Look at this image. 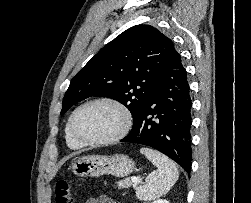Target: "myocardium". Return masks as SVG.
<instances>
[{
	"instance_id": "1",
	"label": "myocardium",
	"mask_w": 251,
	"mask_h": 203,
	"mask_svg": "<svg viewBox=\"0 0 251 203\" xmlns=\"http://www.w3.org/2000/svg\"><path fill=\"white\" fill-rule=\"evenodd\" d=\"M94 104H108V105L115 107L121 113V115L123 117L122 125H121L120 129L112 136L104 138V139H99V140H90V139H85V138L81 137L76 132V130H75L76 116L78 115V113L82 109H84L88 106L94 105ZM132 123H133L132 114L126 105H124L122 102H120L116 99H113V98L99 97V98H94V99H91V100L84 102L83 104L79 105L73 111V113L71 114L70 119H69V130H70L72 137L76 141L81 143L82 145L103 146V145H109V144L115 143V142L121 140L122 138H124L131 130Z\"/></svg>"
}]
</instances>
